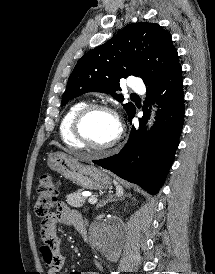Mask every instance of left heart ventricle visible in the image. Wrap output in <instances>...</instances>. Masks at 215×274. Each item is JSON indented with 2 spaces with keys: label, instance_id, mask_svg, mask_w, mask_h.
I'll use <instances>...</instances> for the list:
<instances>
[{
  "label": "left heart ventricle",
  "instance_id": "obj_1",
  "mask_svg": "<svg viewBox=\"0 0 215 274\" xmlns=\"http://www.w3.org/2000/svg\"><path fill=\"white\" fill-rule=\"evenodd\" d=\"M83 128L86 136L97 145L111 142L119 131L116 118L104 111L92 113L86 119Z\"/></svg>",
  "mask_w": 215,
  "mask_h": 274
}]
</instances>
